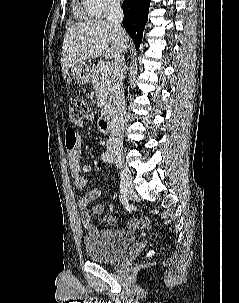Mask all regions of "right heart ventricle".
I'll return each mask as SVG.
<instances>
[{
	"mask_svg": "<svg viewBox=\"0 0 239 303\" xmlns=\"http://www.w3.org/2000/svg\"><path fill=\"white\" fill-rule=\"evenodd\" d=\"M77 13L82 16L84 14V9L77 7Z\"/></svg>",
	"mask_w": 239,
	"mask_h": 303,
	"instance_id": "e07e8e85",
	"label": "right heart ventricle"
}]
</instances>
